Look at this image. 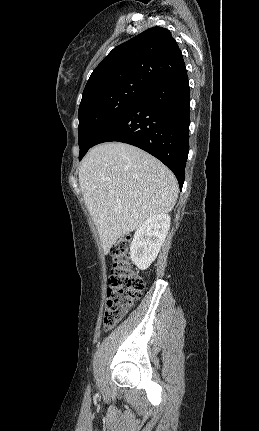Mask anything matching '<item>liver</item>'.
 <instances>
[{"mask_svg": "<svg viewBox=\"0 0 259 431\" xmlns=\"http://www.w3.org/2000/svg\"><path fill=\"white\" fill-rule=\"evenodd\" d=\"M79 185L104 254L151 216L170 212L179 190L174 174L163 163L120 142L88 151L79 170Z\"/></svg>", "mask_w": 259, "mask_h": 431, "instance_id": "6515ba94", "label": "liver"}]
</instances>
